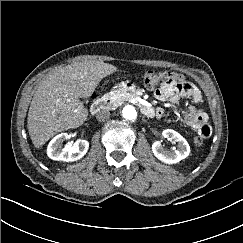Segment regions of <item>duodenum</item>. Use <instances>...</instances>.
<instances>
[{
  "label": "duodenum",
  "instance_id": "duodenum-1",
  "mask_svg": "<svg viewBox=\"0 0 243 243\" xmlns=\"http://www.w3.org/2000/svg\"><path fill=\"white\" fill-rule=\"evenodd\" d=\"M112 102V98L111 97H103V98H99V99H95L91 105V112L93 114H97L99 113L103 108L109 106ZM141 111L144 115L148 116V117H152L155 114L154 109L151 106L148 105H143L141 107Z\"/></svg>",
  "mask_w": 243,
  "mask_h": 243
}]
</instances>
